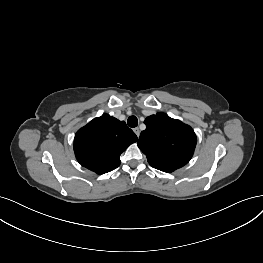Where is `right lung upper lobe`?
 Here are the masks:
<instances>
[{"mask_svg":"<svg viewBox=\"0 0 263 263\" xmlns=\"http://www.w3.org/2000/svg\"><path fill=\"white\" fill-rule=\"evenodd\" d=\"M138 140L124 121L103 114L82 127L74 138L78 162L87 169L104 174L120 165V155Z\"/></svg>","mask_w":263,"mask_h":263,"instance_id":"obj_1","label":"right lung upper lobe"}]
</instances>
